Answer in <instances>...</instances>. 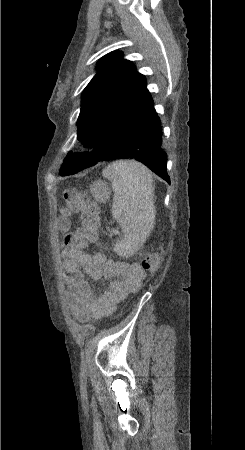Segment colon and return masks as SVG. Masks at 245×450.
Segmentation results:
<instances>
[{"label": "colon", "mask_w": 245, "mask_h": 450, "mask_svg": "<svg viewBox=\"0 0 245 450\" xmlns=\"http://www.w3.org/2000/svg\"><path fill=\"white\" fill-rule=\"evenodd\" d=\"M64 205L60 209L59 229L65 232L68 227V216L72 213L79 214L81 224L73 233L64 234L62 245L64 248L81 253L89 243L98 240L100 221L98 206L88 194L76 190L66 189L63 192ZM160 258L158 254H149L141 260V267L149 274L157 271Z\"/></svg>", "instance_id": "colon-1"}]
</instances>
